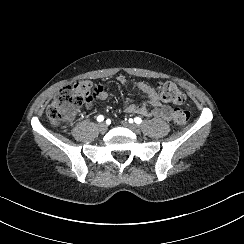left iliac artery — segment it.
Segmentation results:
<instances>
[{"label": "left iliac artery", "mask_w": 244, "mask_h": 244, "mask_svg": "<svg viewBox=\"0 0 244 244\" xmlns=\"http://www.w3.org/2000/svg\"><path fill=\"white\" fill-rule=\"evenodd\" d=\"M134 121H135V123L140 124L142 122V119L139 117H136V118H134Z\"/></svg>", "instance_id": "obj_1"}]
</instances>
